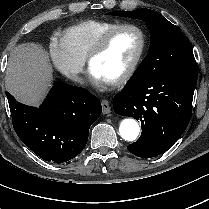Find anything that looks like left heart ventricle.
Returning <instances> with one entry per match:
<instances>
[{"label": "left heart ventricle", "instance_id": "b2bd125f", "mask_svg": "<svg viewBox=\"0 0 209 209\" xmlns=\"http://www.w3.org/2000/svg\"><path fill=\"white\" fill-rule=\"evenodd\" d=\"M140 47V35L133 29L113 35L106 49L92 62L91 68L105 81L122 76L131 65Z\"/></svg>", "mask_w": 209, "mask_h": 209}]
</instances>
